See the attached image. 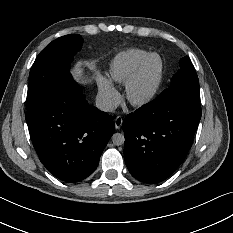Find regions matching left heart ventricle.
<instances>
[{
  "instance_id": "b2bd125f",
  "label": "left heart ventricle",
  "mask_w": 233,
  "mask_h": 233,
  "mask_svg": "<svg viewBox=\"0 0 233 233\" xmlns=\"http://www.w3.org/2000/svg\"><path fill=\"white\" fill-rule=\"evenodd\" d=\"M162 65L163 62L160 57L156 56L151 60L141 79L133 89V95L136 98L144 99L152 93L162 72Z\"/></svg>"
}]
</instances>
